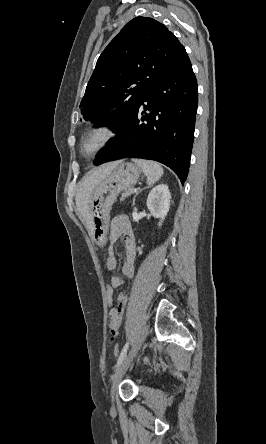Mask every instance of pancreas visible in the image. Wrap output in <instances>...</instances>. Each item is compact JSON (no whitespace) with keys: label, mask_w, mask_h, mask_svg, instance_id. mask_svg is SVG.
Wrapping results in <instances>:
<instances>
[{"label":"pancreas","mask_w":266,"mask_h":444,"mask_svg":"<svg viewBox=\"0 0 266 444\" xmlns=\"http://www.w3.org/2000/svg\"><path fill=\"white\" fill-rule=\"evenodd\" d=\"M132 193H134L133 188L125 189V191H124L123 194H122V198H121V200H124V198L130 196Z\"/></svg>","instance_id":"pancreas-1"}]
</instances>
